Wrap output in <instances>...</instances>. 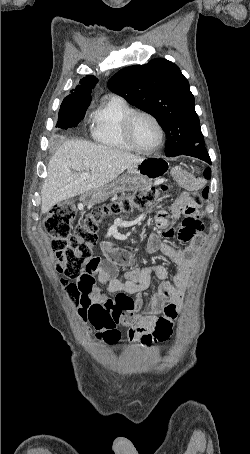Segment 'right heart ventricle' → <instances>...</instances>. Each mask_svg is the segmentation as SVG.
Masks as SVG:
<instances>
[{"mask_svg": "<svg viewBox=\"0 0 250 454\" xmlns=\"http://www.w3.org/2000/svg\"><path fill=\"white\" fill-rule=\"evenodd\" d=\"M134 109L122 98L111 97L101 103L91 117L92 138L105 147L133 151L123 134V120Z\"/></svg>", "mask_w": 250, "mask_h": 454, "instance_id": "right-heart-ventricle-1", "label": "right heart ventricle"}]
</instances>
